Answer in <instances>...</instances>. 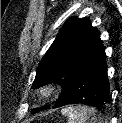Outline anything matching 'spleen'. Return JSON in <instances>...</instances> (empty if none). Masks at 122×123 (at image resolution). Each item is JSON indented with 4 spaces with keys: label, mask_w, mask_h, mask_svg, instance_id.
<instances>
[{
    "label": "spleen",
    "mask_w": 122,
    "mask_h": 123,
    "mask_svg": "<svg viewBox=\"0 0 122 123\" xmlns=\"http://www.w3.org/2000/svg\"><path fill=\"white\" fill-rule=\"evenodd\" d=\"M62 114L68 117V123H87L88 120L96 123L98 118L96 110L87 106H69L62 109Z\"/></svg>",
    "instance_id": "3e777b00"
}]
</instances>
